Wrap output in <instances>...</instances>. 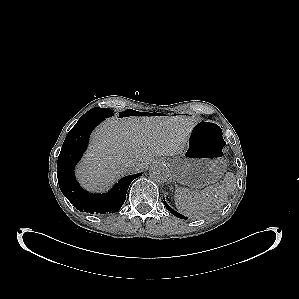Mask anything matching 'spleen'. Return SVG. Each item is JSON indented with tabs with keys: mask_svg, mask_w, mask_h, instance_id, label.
I'll list each match as a JSON object with an SVG mask.
<instances>
[{
	"mask_svg": "<svg viewBox=\"0 0 299 299\" xmlns=\"http://www.w3.org/2000/svg\"><path fill=\"white\" fill-rule=\"evenodd\" d=\"M236 187L235 175L228 172L222 184H215L201 191H190L178 187L175 190L174 200L179 212L186 216L200 218L226 204L228 196Z\"/></svg>",
	"mask_w": 299,
	"mask_h": 299,
	"instance_id": "spleen-1",
	"label": "spleen"
}]
</instances>
